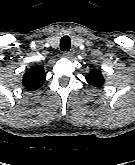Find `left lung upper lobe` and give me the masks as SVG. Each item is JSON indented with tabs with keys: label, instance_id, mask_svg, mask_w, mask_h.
<instances>
[{
	"label": "left lung upper lobe",
	"instance_id": "left-lung-upper-lobe-1",
	"mask_svg": "<svg viewBox=\"0 0 135 165\" xmlns=\"http://www.w3.org/2000/svg\"><path fill=\"white\" fill-rule=\"evenodd\" d=\"M85 78L90 85L95 87H101L105 82L101 71L97 69H91Z\"/></svg>",
	"mask_w": 135,
	"mask_h": 165
}]
</instances>
